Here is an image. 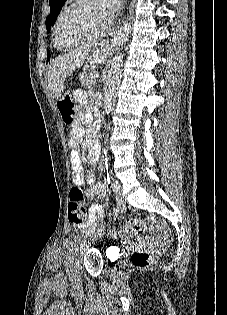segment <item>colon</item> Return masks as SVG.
<instances>
[{"instance_id": "colon-1", "label": "colon", "mask_w": 227, "mask_h": 315, "mask_svg": "<svg viewBox=\"0 0 227 315\" xmlns=\"http://www.w3.org/2000/svg\"><path fill=\"white\" fill-rule=\"evenodd\" d=\"M58 107L63 121L66 124H71L75 117L74 102L69 95L63 96L58 101ZM68 218L74 224H83L89 219V214L86 211L84 189L82 185H78L70 190L68 203ZM148 226L155 228L162 233L164 239H167L166 223L154 216H149L146 219H130L122 226V234L124 235H141L148 230ZM108 235L113 237L116 231L110 229ZM131 260L136 267H146L152 263V255L143 250H136L132 253Z\"/></svg>"}]
</instances>
